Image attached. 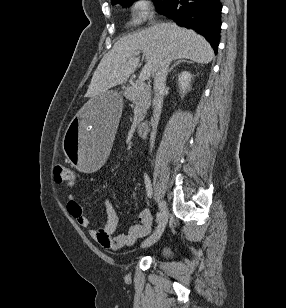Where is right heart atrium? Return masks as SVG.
Here are the masks:
<instances>
[{
	"instance_id": "1",
	"label": "right heart atrium",
	"mask_w": 286,
	"mask_h": 308,
	"mask_svg": "<svg viewBox=\"0 0 286 308\" xmlns=\"http://www.w3.org/2000/svg\"><path fill=\"white\" fill-rule=\"evenodd\" d=\"M130 14L134 22L141 24L151 16V0H132Z\"/></svg>"
}]
</instances>
